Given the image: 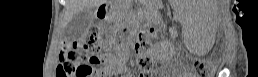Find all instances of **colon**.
<instances>
[{
	"label": "colon",
	"mask_w": 258,
	"mask_h": 77,
	"mask_svg": "<svg viewBox=\"0 0 258 77\" xmlns=\"http://www.w3.org/2000/svg\"><path fill=\"white\" fill-rule=\"evenodd\" d=\"M159 37L157 28L152 27L144 32L134 42V49L138 55V65L141 69H149L152 60L149 50L152 41ZM104 31L101 28L91 29L81 39L60 52V63L57 67L56 77H97L102 64L97 53L101 50ZM122 46L117 45L120 49ZM215 62L210 58L199 59L195 62L194 70L197 76L207 77L213 73Z\"/></svg>",
	"instance_id": "obj_1"
}]
</instances>
